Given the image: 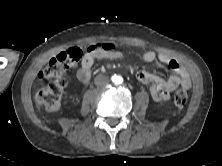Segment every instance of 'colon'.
<instances>
[{
    "label": "colon",
    "instance_id": "1",
    "mask_svg": "<svg viewBox=\"0 0 222 166\" xmlns=\"http://www.w3.org/2000/svg\"><path fill=\"white\" fill-rule=\"evenodd\" d=\"M112 47L110 44H103L91 46L85 51L74 47L53 57L40 72V77L49 80L50 83L37 93V102L49 112L58 111L61 106L63 90L67 85V80L63 76L65 70L75 66L86 53H93L100 48L108 50ZM187 100L188 92L185 88H180L175 92L174 102L178 107H183Z\"/></svg>",
    "mask_w": 222,
    "mask_h": 166
}]
</instances>
